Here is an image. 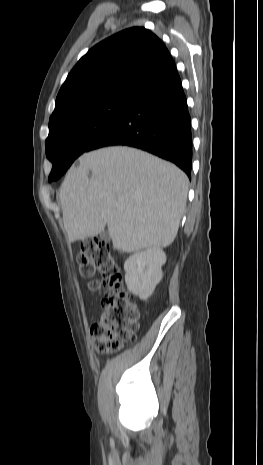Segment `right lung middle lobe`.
I'll return each instance as SVG.
<instances>
[{
    "mask_svg": "<svg viewBox=\"0 0 263 465\" xmlns=\"http://www.w3.org/2000/svg\"><path fill=\"white\" fill-rule=\"evenodd\" d=\"M132 100L124 96L100 98L49 120L45 142L46 156L52 162L49 181L59 179L79 155L88 151L126 113Z\"/></svg>",
    "mask_w": 263,
    "mask_h": 465,
    "instance_id": "1",
    "label": "right lung middle lobe"
}]
</instances>
